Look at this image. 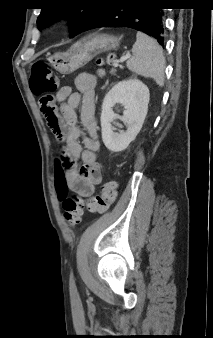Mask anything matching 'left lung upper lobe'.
Segmentation results:
<instances>
[{"label": "left lung upper lobe", "mask_w": 213, "mask_h": 338, "mask_svg": "<svg viewBox=\"0 0 213 338\" xmlns=\"http://www.w3.org/2000/svg\"><path fill=\"white\" fill-rule=\"evenodd\" d=\"M104 0H44L37 19L39 28L60 18H69L71 37L79 34L89 19L98 11Z\"/></svg>", "instance_id": "obj_1"}]
</instances>
